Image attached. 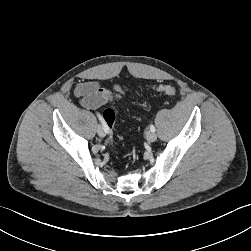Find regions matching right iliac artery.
I'll list each match as a JSON object with an SVG mask.
<instances>
[{
  "label": "right iliac artery",
  "mask_w": 251,
  "mask_h": 251,
  "mask_svg": "<svg viewBox=\"0 0 251 251\" xmlns=\"http://www.w3.org/2000/svg\"><path fill=\"white\" fill-rule=\"evenodd\" d=\"M96 114H97V117H98L99 121H100L101 124H102V127H103L104 130H105V133H109V129H108V127H107V125H106L104 119L102 118V116H101L99 113H96Z\"/></svg>",
  "instance_id": "obj_1"
}]
</instances>
